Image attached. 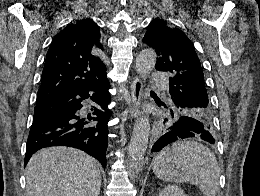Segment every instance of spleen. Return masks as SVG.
Here are the masks:
<instances>
[{"label": "spleen", "instance_id": "obj_1", "mask_svg": "<svg viewBox=\"0 0 260 196\" xmlns=\"http://www.w3.org/2000/svg\"><path fill=\"white\" fill-rule=\"evenodd\" d=\"M181 170V172H179ZM153 172L163 182L193 184L204 196H216L219 190V168L217 160L199 142H174L164 148L153 162Z\"/></svg>", "mask_w": 260, "mask_h": 196}]
</instances>
